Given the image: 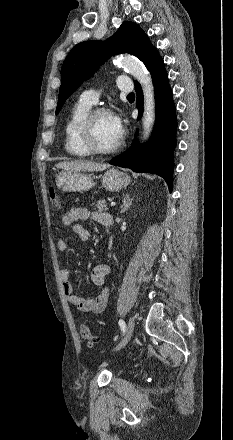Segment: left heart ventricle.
<instances>
[{
	"instance_id": "obj_1",
	"label": "left heart ventricle",
	"mask_w": 233,
	"mask_h": 440,
	"mask_svg": "<svg viewBox=\"0 0 233 440\" xmlns=\"http://www.w3.org/2000/svg\"><path fill=\"white\" fill-rule=\"evenodd\" d=\"M121 132L116 128L113 115L102 114L98 116L93 124V139L95 144L107 149L112 147L119 139Z\"/></svg>"
}]
</instances>
